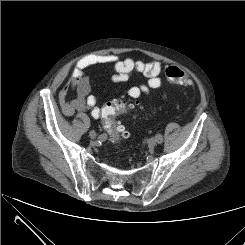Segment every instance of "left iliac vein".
I'll list each match as a JSON object with an SVG mask.
<instances>
[{
	"label": "left iliac vein",
	"instance_id": "obj_1",
	"mask_svg": "<svg viewBox=\"0 0 245 245\" xmlns=\"http://www.w3.org/2000/svg\"><path fill=\"white\" fill-rule=\"evenodd\" d=\"M148 143H149V146L153 148L157 145L158 142H157V139L155 137H152L149 139Z\"/></svg>",
	"mask_w": 245,
	"mask_h": 245
}]
</instances>
